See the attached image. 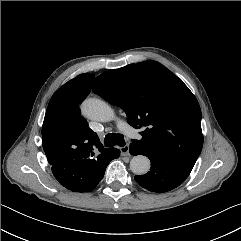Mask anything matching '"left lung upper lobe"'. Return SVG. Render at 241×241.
Here are the masks:
<instances>
[{
	"instance_id": "left-lung-upper-lobe-1",
	"label": "left lung upper lobe",
	"mask_w": 241,
	"mask_h": 241,
	"mask_svg": "<svg viewBox=\"0 0 241 241\" xmlns=\"http://www.w3.org/2000/svg\"><path fill=\"white\" fill-rule=\"evenodd\" d=\"M93 92L142 130V139L132 142L141 151L194 166L203 146L200 106L166 67L149 60L109 70L95 79Z\"/></svg>"
}]
</instances>
